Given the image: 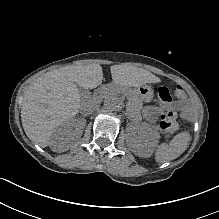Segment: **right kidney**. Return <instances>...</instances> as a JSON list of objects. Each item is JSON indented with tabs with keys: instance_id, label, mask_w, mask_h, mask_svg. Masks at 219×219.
Masks as SVG:
<instances>
[{
	"instance_id": "obj_1",
	"label": "right kidney",
	"mask_w": 219,
	"mask_h": 219,
	"mask_svg": "<svg viewBox=\"0 0 219 219\" xmlns=\"http://www.w3.org/2000/svg\"><path fill=\"white\" fill-rule=\"evenodd\" d=\"M70 126L75 127L76 130L75 131H71L70 130ZM80 130L79 126L76 125V123L71 124L70 123H66L64 126H62L61 128L55 130V132L52 134L51 138H50V148L53 152H65L68 150V145L65 142V136L71 135V136H76V137H80V135H75V132H78Z\"/></svg>"
}]
</instances>
